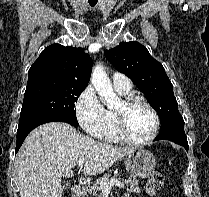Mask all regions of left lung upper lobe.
<instances>
[{
  "instance_id": "1",
  "label": "left lung upper lobe",
  "mask_w": 209,
  "mask_h": 197,
  "mask_svg": "<svg viewBox=\"0 0 209 197\" xmlns=\"http://www.w3.org/2000/svg\"><path fill=\"white\" fill-rule=\"evenodd\" d=\"M105 55L118 71L127 75L147 96L149 104L160 117V132L184 127L173 85L162 64L150 55L146 47L136 41L122 42L106 50Z\"/></svg>"
}]
</instances>
